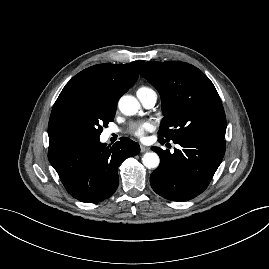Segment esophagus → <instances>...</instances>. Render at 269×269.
Here are the masks:
<instances>
[{"label":"esophagus","instance_id":"34e87169","mask_svg":"<svg viewBox=\"0 0 269 269\" xmlns=\"http://www.w3.org/2000/svg\"><path fill=\"white\" fill-rule=\"evenodd\" d=\"M140 150H141L142 153H144V152H146V151H149L150 148L147 147V146H144V145H140Z\"/></svg>","mask_w":269,"mask_h":269}]
</instances>
